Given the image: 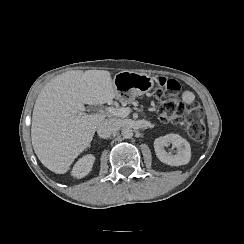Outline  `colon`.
<instances>
[{"instance_id":"obj_1","label":"colon","mask_w":244,"mask_h":244,"mask_svg":"<svg viewBox=\"0 0 244 244\" xmlns=\"http://www.w3.org/2000/svg\"><path fill=\"white\" fill-rule=\"evenodd\" d=\"M180 83L174 79L161 77L157 81L156 96L158 114L161 122L171 121L173 126L182 124L185 116L187 132L194 141H201L205 136L204 113L202 106L195 99H180Z\"/></svg>"}]
</instances>
